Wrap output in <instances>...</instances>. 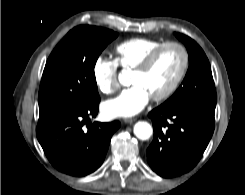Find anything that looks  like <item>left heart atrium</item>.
Instances as JSON below:
<instances>
[{
  "mask_svg": "<svg viewBox=\"0 0 245 195\" xmlns=\"http://www.w3.org/2000/svg\"><path fill=\"white\" fill-rule=\"evenodd\" d=\"M151 96L141 85H133L118 97L103 103V113L111 118L131 117L138 114L147 105Z\"/></svg>",
  "mask_w": 245,
  "mask_h": 195,
  "instance_id": "1",
  "label": "left heart atrium"
}]
</instances>
